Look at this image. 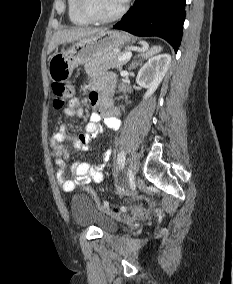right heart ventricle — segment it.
I'll return each instance as SVG.
<instances>
[{
    "label": "right heart ventricle",
    "instance_id": "1",
    "mask_svg": "<svg viewBox=\"0 0 233 284\" xmlns=\"http://www.w3.org/2000/svg\"><path fill=\"white\" fill-rule=\"evenodd\" d=\"M67 13L71 23L78 26L90 24L89 21L80 10V0H67Z\"/></svg>",
    "mask_w": 233,
    "mask_h": 284
}]
</instances>
